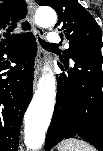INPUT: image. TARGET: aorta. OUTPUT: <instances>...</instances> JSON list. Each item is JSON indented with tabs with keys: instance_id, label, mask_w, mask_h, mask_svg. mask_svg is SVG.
Listing matches in <instances>:
<instances>
[{
	"instance_id": "762f6f07",
	"label": "aorta",
	"mask_w": 103,
	"mask_h": 151,
	"mask_svg": "<svg viewBox=\"0 0 103 151\" xmlns=\"http://www.w3.org/2000/svg\"><path fill=\"white\" fill-rule=\"evenodd\" d=\"M36 23L41 27H51L57 21L56 12L49 7H41L35 14ZM45 70H47L45 68ZM56 79L53 72L45 74L39 81L38 89L25 113V138L28 149L41 148L54 110Z\"/></svg>"
}]
</instances>
